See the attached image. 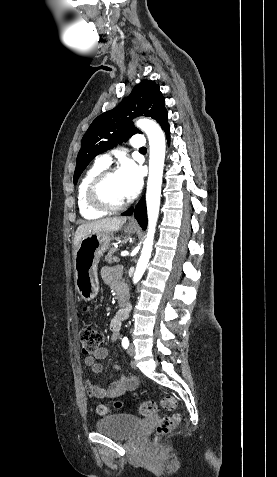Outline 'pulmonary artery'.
<instances>
[{"label": "pulmonary artery", "mask_w": 277, "mask_h": 477, "mask_svg": "<svg viewBox=\"0 0 277 477\" xmlns=\"http://www.w3.org/2000/svg\"><path fill=\"white\" fill-rule=\"evenodd\" d=\"M131 146L134 147V148H141L142 146H144V139H143V136L141 135H135L132 137L131 139ZM110 156L107 155V154H103L101 155L97 162L104 165V166H108L110 164Z\"/></svg>", "instance_id": "obj_1"}]
</instances>
